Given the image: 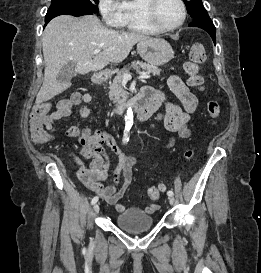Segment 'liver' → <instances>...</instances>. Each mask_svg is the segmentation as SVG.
Masks as SVG:
<instances>
[{
  "mask_svg": "<svg viewBox=\"0 0 261 273\" xmlns=\"http://www.w3.org/2000/svg\"><path fill=\"white\" fill-rule=\"evenodd\" d=\"M146 39L150 37L107 29L95 15L55 17L42 37L45 70L36 104L52 99L71 86L70 82L57 80L60 70L69 62L76 64L75 71L79 74L100 71L109 63H121L137 42ZM97 48L102 51L93 55Z\"/></svg>",
  "mask_w": 261,
  "mask_h": 273,
  "instance_id": "6515ba94",
  "label": "liver"
}]
</instances>
